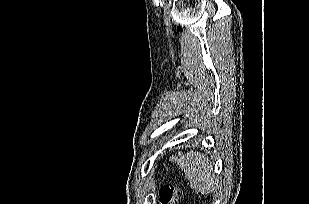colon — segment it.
<instances>
[{
	"label": "colon",
	"instance_id": "5ec220e1",
	"mask_svg": "<svg viewBox=\"0 0 309 204\" xmlns=\"http://www.w3.org/2000/svg\"><path fill=\"white\" fill-rule=\"evenodd\" d=\"M181 197V188L177 184L165 185L160 189L161 204H176Z\"/></svg>",
	"mask_w": 309,
	"mask_h": 204
}]
</instances>
